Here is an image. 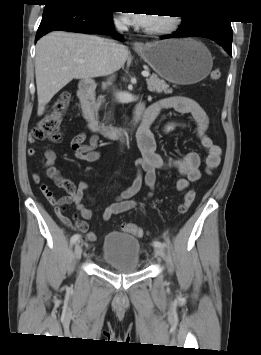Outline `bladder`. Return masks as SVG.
<instances>
[{"instance_id":"bladder-1","label":"bladder","mask_w":261,"mask_h":355,"mask_svg":"<svg viewBox=\"0 0 261 355\" xmlns=\"http://www.w3.org/2000/svg\"><path fill=\"white\" fill-rule=\"evenodd\" d=\"M102 258L114 270L136 272L140 269V244L134 236L110 232L104 238Z\"/></svg>"}]
</instances>
